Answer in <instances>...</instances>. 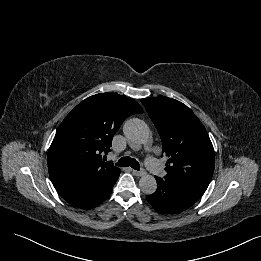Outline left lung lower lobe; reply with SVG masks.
Returning <instances> with one entry per match:
<instances>
[{"mask_svg": "<svg viewBox=\"0 0 261 261\" xmlns=\"http://www.w3.org/2000/svg\"><path fill=\"white\" fill-rule=\"evenodd\" d=\"M158 188L146 198L152 207L163 214L179 213L196 203L205 190L155 177Z\"/></svg>", "mask_w": 261, "mask_h": 261, "instance_id": "1", "label": "left lung lower lobe"}]
</instances>
